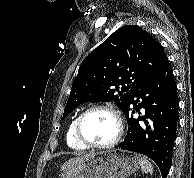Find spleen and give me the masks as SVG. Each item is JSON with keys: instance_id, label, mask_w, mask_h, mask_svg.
Returning a JSON list of instances; mask_svg holds the SVG:
<instances>
[{"instance_id": "1", "label": "spleen", "mask_w": 194, "mask_h": 178, "mask_svg": "<svg viewBox=\"0 0 194 178\" xmlns=\"http://www.w3.org/2000/svg\"><path fill=\"white\" fill-rule=\"evenodd\" d=\"M139 165H140L141 171L143 173H145V174H147V173L153 174V165L145 157H141L139 159Z\"/></svg>"}]
</instances>
